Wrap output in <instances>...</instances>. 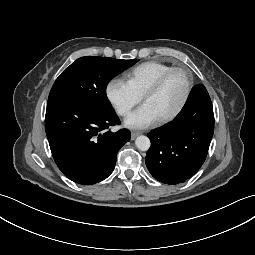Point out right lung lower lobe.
<instances>
[{
  "label": "right lung lower lobe",
  "mask_w": 255,
  "mask_h": 255,
  "mask_svg": "<svg viewBox=\"0 0 255 255\" xmlns=\"http://www.w3.org/2000/svg\"><path fill=\"white\" fill-rule=\"evenodd\" d=\"M120 124L116 114L103 113L71 100L48 101L45 130L61 172L70 180L90 185L106 179L114 170L119 149L130 132H104Z\"/></svg>",
  "instance_id": "obj_1"
}]
</instances>
